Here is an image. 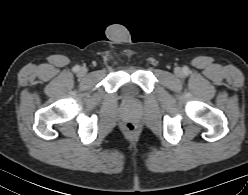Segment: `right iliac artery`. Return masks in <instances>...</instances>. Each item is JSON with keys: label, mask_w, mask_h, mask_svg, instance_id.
Masks as SVG:
<instances>
[{"label": "right iliac artery", "mask_w": 248, "mask_h": 195, "mask_svg": "<svg viewBox=\"0 0 248 195\" xmlns=\"http://www.w3.org/2000/svg\"><path fill=\"white\" fill-rule=\"evenodd\" d=\"M75 72H78L80 70V67L79 66H75L74 69H73Z\"/></svg>", "instance_id": "right-iliac-artery-1"}]
</instances>
